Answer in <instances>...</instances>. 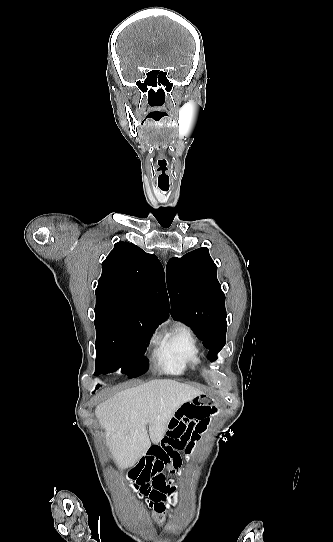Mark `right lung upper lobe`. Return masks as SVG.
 <instances>
[{
	"instance_id": "cb5924a9",
	"label": "right lung upper lobe",
	"mask_w": 333,
	"mask_h": 542,
	"mask_svg": "<svg viewBox=\"0 0 333 542\" xmlns=\"http://www.w3.org/2000/svg\"><path fill=\"white\" fill-rule=\"evenodd\" d=\"M95 294V311L142 317L153 327L169 316L163 266L155 255L131 243L114 245L102 263Z\"/></svg>"
}]
</instances>
